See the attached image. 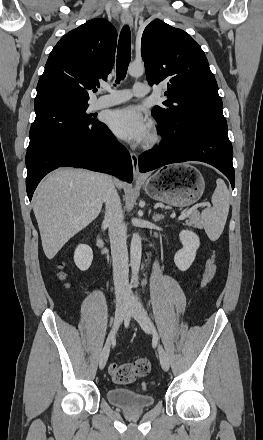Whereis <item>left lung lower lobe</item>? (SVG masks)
<instances>
[{
	"label": "left lung lower lobe",
	"instance_id": "left-lung-lower-lobe-1",
	"mask_svg": "<svg viewBox=\"0 0 263 440\" xmlns=\"http://www.w3.org/2000/svg\"><path fill=\"white\" fill-rule=\"evenodd\" d=\"M160 125L163 140L152 151L140 155V172H148L171 163L201 161L220 170L234 188L233 149L225 119L203 122L193 126L189 133Z\"/></svg>",
	"mask_w": 263,
	"mask_h": 440
}]
</instances>
